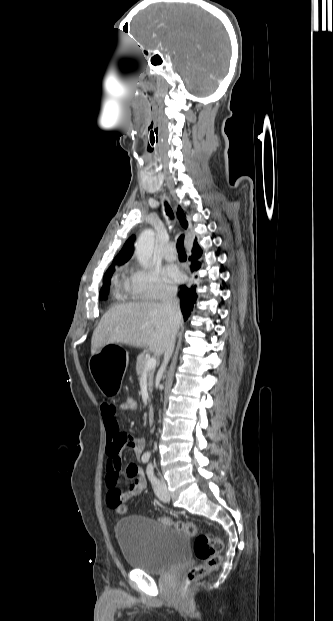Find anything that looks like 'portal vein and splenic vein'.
<instances>
[{
	"mask_svg": "<svg viewBox=\"0 0 333 621\" xmlns=\"http://www.w3.org/2000/svg\"><path fill=\"white\" fill-rule=\"evenodd\" d=\"M156 366V359L155 358H148L147 362H146V368L145 371L155 368Z\"/></svg>",
	"mask_w": 333,
	"mask_h": 621,
	"instance_id": "18ae733b",
	"label": "portal vein and splenic vein"
}]
</instances>
